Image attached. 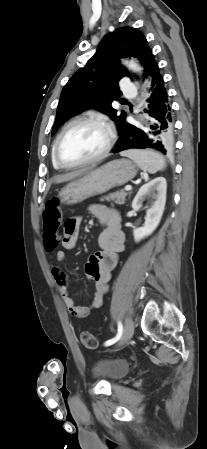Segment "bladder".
<instances>
[{"label": "bladder", "instance_id": "31cf9c89", "mask_svg": "<svg viewBox=\"0 0 207 449\" xmlns=\"http://www.w3.org/2000/svg\"><path fill=\"white\" fill-rule=\"evenodd\" d=\"M130 365L125 360H97L92 366V376L109 382L117 381L128 374Z\"/></svg>", "mask_w": 207, "mask_h": 449}]
</instances>
